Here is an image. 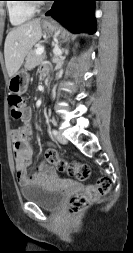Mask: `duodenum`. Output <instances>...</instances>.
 Segmentation results:
<instances>
[{"label": "duodenum", "instance_id": "410a0bca", "mask_svg": "<svg viewBox=\"0 0 133 253\" xmlns=\"http://www.w3.org/2000/svg\"><path fill=\"white\" fill-rule=\"evenodd\" d=\"M43 78L44 79H46L47 78V74L45 73V74H43Z\"/></svg>", "mask_w": 133, "mask_h": 253}]
</instances>
